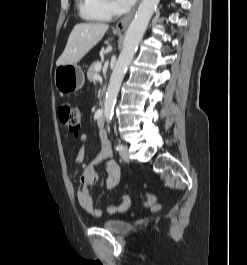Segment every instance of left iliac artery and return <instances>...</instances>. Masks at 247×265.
<instances>
[{"instance_id": "obj_1", "label": "left iliac artery", "mask_w": 247, "mask_h": 265, "mask_svg": "<svg viewBox=\"0 0 247 265\" xmlns=\"http://www.w3.org/2000/svg\"><path fill=\"white\" fill-rule=\"evenodd\" d=\"M122 149H123V145L120 144V143H118V144L116 145V150L120 151V150H122Z\"/></svg>"}]
</instances>
